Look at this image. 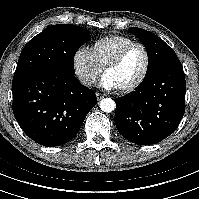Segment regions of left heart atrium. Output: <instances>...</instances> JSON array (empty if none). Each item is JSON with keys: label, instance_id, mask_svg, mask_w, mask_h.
<instances>
[{"label": "left heart atrium", "instance_id": "left-heart-atrium-1", "mask_svg": "<svg viewBox=\"0 0 199 199\" xmlns=\"http://www.w3.org/2000/svg\"><path fill=\"white\" fill-rule=\"evenodd\" d=\"M101 86L106 90H114L115 86L112 84V82L109 80L108 77L104 76L101 80Z\"/></svg>", "mask_w": 199, "mask_h": 199}]
</instances>
